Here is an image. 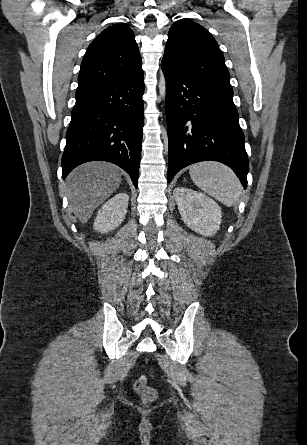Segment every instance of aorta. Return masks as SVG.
<instances>
[{"instance_id":"762f6f07","label":"aorta","mask_w":307,"mask_h":445,"mask_svg":"<svg viewBox=\"0 0 307 445\" xmlns=\"http://www.w3.org/2000/svg\"><path fill=\"white\" fill-rule=\"evenodd\" d=\"M159 92H160L162 98H165V94H166V80H165L163 74H161L160 80H159Z\"/></svg>"}]
</instances>
